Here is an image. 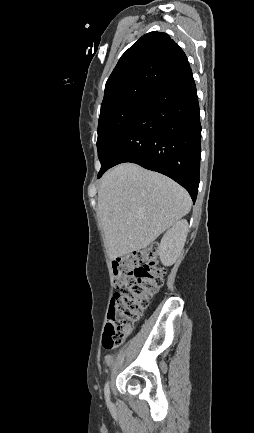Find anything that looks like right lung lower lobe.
I'll return each instance as SVG.
<instances>
[{
    "label": "right lung lower lobe",
    "mask_w": 254,
    "mask_h": 433,
    "mask_svg": "<svg viewBox=\"0 0 254 433\" xmlns=\"http://www.w3.org/2000/svg\"><path fill=\"white\" fill-rule=\"evenodd\" d=\"M201 124L195 82L187 67L162 85L114 145L105 167L132 162L183 186L193 202L199 186Z\"/></svg>",
    "instance_id": "obj_1"
}]
</instances>
